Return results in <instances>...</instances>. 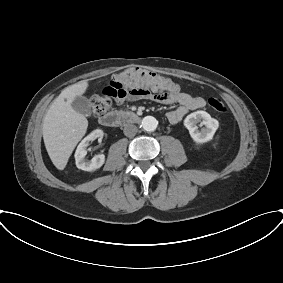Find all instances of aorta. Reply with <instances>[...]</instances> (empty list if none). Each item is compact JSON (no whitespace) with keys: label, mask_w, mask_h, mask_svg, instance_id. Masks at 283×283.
I'll use <instances>...</instances> for the list:
<instances>
[{"label":"aorta","mask_w":283,"mask_h":283,"mask_svg":"<svg viewBox=\"0 0 283 283\" xmlns=\"http://www.w3.org/2000/svg\"><path fill=\"white\" fill-rule=\"evenodd\" d=\"M158 121L153 116H146L142 119L141 126L145 131L152 132L156 130Z\"/></svg>","instance_id":"1"}]
</instances>
